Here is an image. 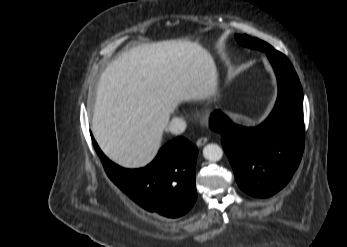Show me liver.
<instances>
[{
  "mask_svg": "<svg viewBox=\"0 0 347 247\" xmlns=\"http://www.w3.org/2000/svg\"><path fill=\"white\" fill-rule=\"evenodd\" d=\"M218 93L211 54L196 42L143 43L121 53L100 76L92 132L103 153L124 168L148 165L170 115L183 101Z\"/></svg>",
  "mask_w": 347,
  "mask_h": 247,
  "instance_id": "1",
  "label": "liver"
}]
</instances>
